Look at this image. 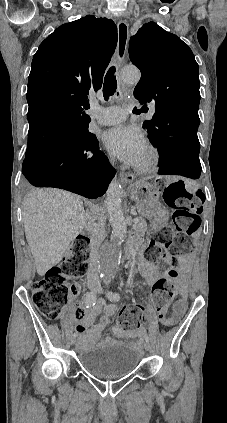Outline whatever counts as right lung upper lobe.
<instances>
[{
	"label": "right lung upper lobe",
	"mask_w": 227,
	"mask_h": 423,
	"mask_svg": "<svg viewBox=\"0 0 227 423\" xmlns=\"http://www.w3.org/2000/svg\"><path fill=\"white\" fill-rule=\"evenodd\" d=\"M116 44V25L93 15L63 24L40 44L28 79L25 154L90 134L87 95L101 88Z\"/></svg>",
	"instance_id": "1"
}]
</instances>
